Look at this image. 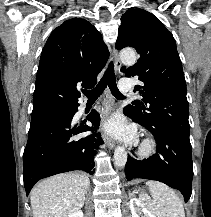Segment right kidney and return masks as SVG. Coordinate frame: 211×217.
I'll list each match as a JSON object with an SVG mask.
<instances>
[{
	"instance_id": "right-kidney-1",
	"label": "right kidney",
	"mask_w": 211,
	"mask_h": 217,
	"mask_svg": "<svg viewBox=\"0 0 211 217\" xmlns=\"http://www.w3.org/2000/svg\"><path fill=\"white\" fill-rule=\"evenodd\" d=\"M68 217H84L83 212L81 210L74 212L73 214L69 215Z\"/></svg>"
}]
</instances>
